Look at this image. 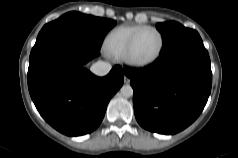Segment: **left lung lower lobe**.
Returning <instances> with one entry per match:
<instances>
[{
    "instance_id": "0a47b994",
    "label": "left lung lower lobe",
    "mask_w": 238,
    "mask_h": 158,
    "mask_svg": "<svg viewBox=\"0 0 238 158\" xmlns=\"http://www.w3.org/2000/svg\"><path fill=\"white\" fill-rule=\"evenodd\" d=\"M124 73L134 90L135 117L151 132L182 131L200 115L211 92L210 58L199 34L162 50L153 64Z\"/></svg>"
}]
</instances>
